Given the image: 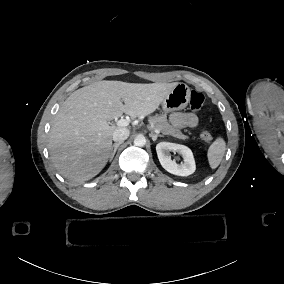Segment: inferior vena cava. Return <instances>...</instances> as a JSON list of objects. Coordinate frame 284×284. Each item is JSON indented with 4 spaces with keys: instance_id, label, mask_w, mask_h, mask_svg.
I'll return each mask as SVG.
<instances>
[{
    "instance_id": "inferior-vena-cava-1",
    "label": "inferior vena cava",
    "mask_w": 284,
    "mask_h": 284,
    "mask_svg": "<svg viewBox=\"0 0 284 284\" xmlns=\"http://www.w3.org/2000/svg\"><path fill=\"white\" fill-rule=\"evenodd\" d=\"M129 130L126 128H118L113 133V140L116 142H124L129 137Z\"/></svg>"
}]
</instances>
